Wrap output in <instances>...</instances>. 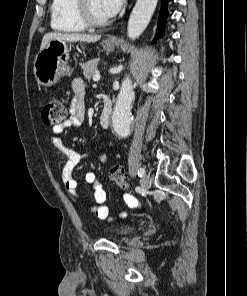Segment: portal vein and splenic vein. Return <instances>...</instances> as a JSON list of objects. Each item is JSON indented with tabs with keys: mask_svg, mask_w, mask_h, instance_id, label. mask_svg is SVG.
Here are the masks:
<instances>
[{
	"mask_svg": "<svg viewBox=\"0 0 247 296\" xmlns=\"http://www.w3.org/2000/svg\"><path fill=\"white\" fill-rule=\"evenodd\" d=\"M100 74L96 73L94 76H93V81H99L100 80Z\"/></svg>",
	"mask_w": 247,
	"mask_h": 296,
	"instance_id": "18ae733b",
	"label": "portal vein and splenic vein"
}]
</instances>
